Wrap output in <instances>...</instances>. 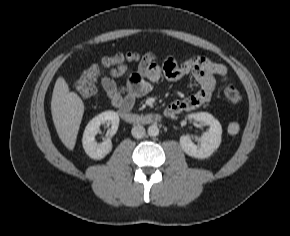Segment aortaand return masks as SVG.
I'll use <instances>...</instances> for the list:
<instances>
[{"label": "aorta", "instance_id": "762f6f07", "mask_svg": "<svg viewBox=\"0 0 290 236\" xmlns=\"http://www.w3.org/2000/svg\"><path fill=\"white\" fill-rule=\"evenodd\" d=\"M159 134V128L157 125L153 124L148 128V135L151 137H156Z\"/></svg>", "mask_w": 290, "mask_h": 236}]
</instances>
